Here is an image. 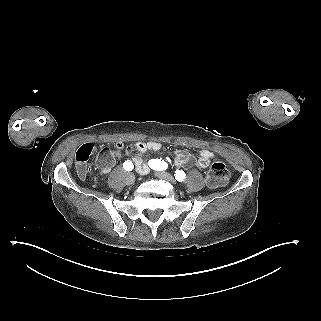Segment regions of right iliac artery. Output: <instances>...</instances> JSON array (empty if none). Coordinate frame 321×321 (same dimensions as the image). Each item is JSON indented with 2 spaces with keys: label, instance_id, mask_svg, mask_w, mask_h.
<instances>
[{
  "label": "right iliac artery",
  "instance_id": "82829eb1",
  "mask_svg": "<svg viewBox=\"0 0 321 321\" xmlns=\"http://www.w3.org/2000/svg\"><path fill=\"white\" fill-rule=\"evenodd\" d=\"M123 167L126 171H132L134 168V165L130 160H127L124 162Z\"/></svg>",
  "mask_w": 321,
  "mask_h": 321
}]
</instances>
